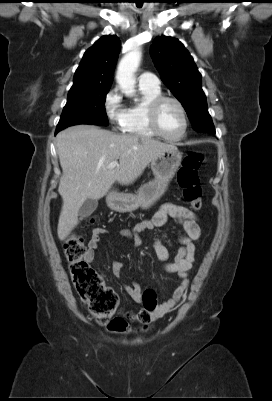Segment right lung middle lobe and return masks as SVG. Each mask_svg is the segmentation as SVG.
Listing matches in <instances>:
<instances>
[{"instance_id": "1", "label": "right lung middle lobe", "mask_w": 272, "mask_h": 401, "mask_svg": "<svg viewBox=\"0 0 272 401\" xmlns=\"http://www.w3.org/2000/svg\"><path fill=\"white\" fill-rule=\"evenodd\" d=\"M109 89H91L68 95L56 132L76 124L108 125L104 104Z\"/></svg>"}]
</instances>
